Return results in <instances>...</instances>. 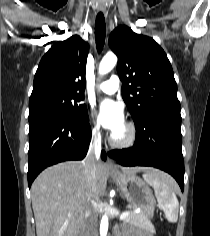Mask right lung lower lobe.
I'll list each match as a JSON object with an SVG mask.
<instances>
[{
    "mask_svg": "<svg viewBox=\"0 0 210 236\" xmlns=\"http://www.w3.org/2000/svg\"><path fill=\"white\" fill-rule=\"evenodd\" d=\"M28 185L46 167L67 160H82L91 140L89 119L49 117L29 123ZM101 158L106 160L102 151Z\"/></svg>",
    "mask_w": 210,
    "mask_h": 236,
    "instance_id": "1",
    "label": "right lung lower lobe"
}]
</instances>
